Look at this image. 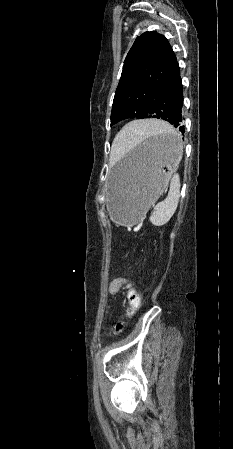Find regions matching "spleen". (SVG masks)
<instances>
[{
    "label": "spleen",
    "instance_id": "1",
    "mask_svg": "<svg viewBox=\"0 0 233 449\" xmlns=\"http://www.w3.org/2000/svg\"><path fill=\"white\" fill-rule=\"evenodd\" d=\"M127 125V124H125ZM159 133H174L169 125H139L134 134H128L127 139H118L121 144L116 149V155L121 156L131 150L139 142H153L154 136ZM180 151L182 153L183 146L179 137L174 133ZM180 197V182L178 174H175L170 183L168 196L162 202H159L150 216V222L155 226L166 224L175 213Z\"/></svg>",
    "mask_w": 233,
    "mask_h": 449
}]
</instances>
